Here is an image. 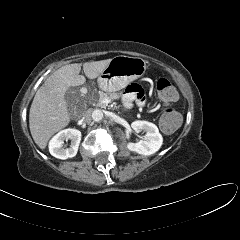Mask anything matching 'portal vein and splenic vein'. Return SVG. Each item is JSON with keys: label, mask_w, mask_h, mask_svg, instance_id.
<instances>
[{"label": "portal vein and splenic vein", "mask_w": 240, "mask_h": 240, "mask_svg": "<svg viewBox=\"0 0 240 240\" xmlns=\"http://www.w3.org/2000/svg\"><path fill=\"white\" fill-rule=\"evenodd\" d=\"M110 101H111V100H110L109 98H104V99L102 100V102L105 103V104L110 103Z\"/></svg>", "instance_id": "portal-vein-and-splenic-vein-1"}]
</instances>
